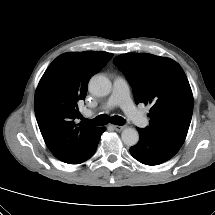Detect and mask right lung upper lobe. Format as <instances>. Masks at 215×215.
Wrapping results in <instances>:
<instances>
[{"label": "right lung upper lobe", "mask_w": 215, "mask_h": 215, "mask_svg": "<svg viewBox=\"0 0 215 215\" xmlns=\"http://www.w3.org/2000/svg\"><path fill=\"white\" fill-rule=\"evenodd\" d=\"M104 51L64 53L43 74L35 93V115L52 154L68 164H79L92 147L100 128L74 120L85 99L90 78L112 58Z\"/></svg>", "instance_id": "1"}]
</instances>
